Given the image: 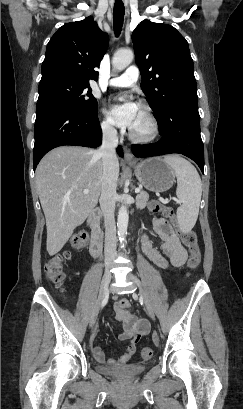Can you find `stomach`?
I'll use <instances>...</instances> for the list:
<instances>
[{
  "mask_svg": "<svg viewBox=\"0 0 243 409\" xmlns=\"http://www.w3.org/2000/svg\"><path fill=\"white\" fill-rule=\"evenodd\" d=\"M140 184L152 192H164L175 182V172L162 158L153 157L132 165Z\"/></svg>",
  "mask_w": 243,
  "mask_h": 409,
  "instance_id": "0dacf381",
  "label": "stomach"
}]
</instances>
